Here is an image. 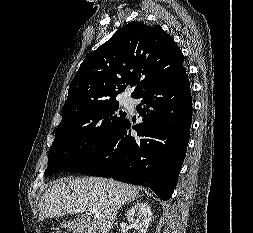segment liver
<instances>
[{
	"label": "liver",
	"mask_w": 253,
	"mask_h": 233,
	"mask_svg": "<svg viewBox=\"0 0 253 233\" xmlns=\"http://www.w3.org/2000/svg\"><path fill=\"white\" fill-rule=\"evenodd\" d=\"M139 195L135 186L98 177L63 178L48 188L39 202V220L96 209L92 228L109 233L121 206ZM95 233V232H94Z\"/></svg>",
	"instance_id": "1"
}]
</instances>
